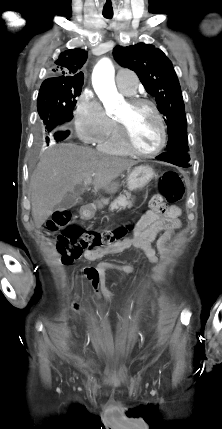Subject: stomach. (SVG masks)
Instances as JSON below:
<instances>
[{
  "label": "stomach",
  "mask_w": 222,
  "mask_h": 429,
  "mask_svg": "<svg viewBox=\"0 0 222 429\" xmlns=\"http://www.w3.org/2000/svg\"><path fill=\"white\" fill-rule=\"evenodd\" d=\"M155 172L152 167L148 165H141L133 168L127 175L126 183L130 191L142 190L153 178ZM97 208H103V203L98 202ZM96 208L86 210L83 214L85 217L94 216Z\"/></svg>",
  "instance_id": "obj_1"
}]
</instances>
